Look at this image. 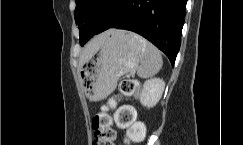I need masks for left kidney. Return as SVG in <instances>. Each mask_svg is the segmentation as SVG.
Here are the masks:
<instances>
[{
    "label": "left kidney",
    "instance_id": "5707ae66",
    "mask_svg": "<svg viewBox=\"0 0 243 145\" xmlns=\"http://www.w3.org/2000/svg\"><path fill=\"white\" fill-rule=\"evenodd\" d=\"M165 82L159 78L145 81L142 87L140 102L148 108L154 107L162 97Z\"/></svg>",
    "mask_w": 243,
    "mask_h": 145
}]
</instances>
